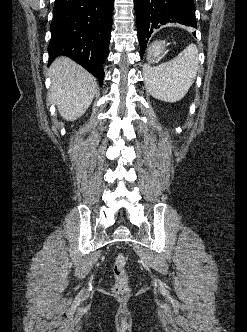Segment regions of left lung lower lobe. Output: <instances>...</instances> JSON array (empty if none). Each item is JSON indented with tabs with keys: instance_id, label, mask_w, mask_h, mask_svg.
Masks as SVG:
<instances>
[{
	"instance_id": "0a47b994",
	"label": "left lung lower lobe",
	"mask_w": 247,
	"mask_h": 332,
	"mask_svg": "<svg viewBox=\"0 0 247 332\" xmlns=\"http://www.w3.org/2000/svg\"><path fill=\"white\" fill-rule=\"evenodd\" d=\"M134 5L141 56L162 25L177 22L197 28L194 0H134Z\"/></svg>"
}]
</instances>
